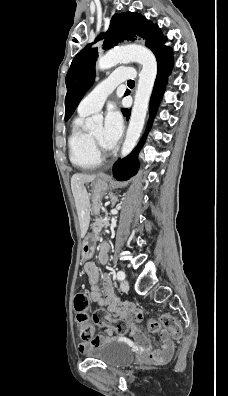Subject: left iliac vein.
I'll return each instance as SVG.
<instances>
[{"mask_svg":"<svg viewBox=\"0 0 228 396\" xmlns=\"http://www.w3.org/2000/svg\"><path fill=\"white\" fill-rule=\"evenodd\" d=\"M120 288L123 292H127L129 290V283L127 280H123L120 284Z\"/></svg>","mask_w":228,"mask_h":396,"instance_id":"4c4485c4","label":"left iliac vein"}]
</instances>
